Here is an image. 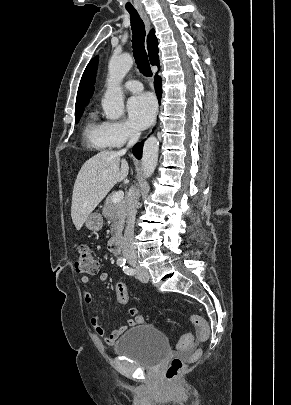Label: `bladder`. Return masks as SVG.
<instances>
[{
    "label": "bladder",
    "instance_id": "1",
    "mask_svg": "<svg viewBox=\"0 0 291 405\" xmlns=\"http://www.w3.org/2000/svg\"><path fill=\"white\" fill-rule=\"evenodd\" d=\"M114 352L147 369L158 368L169 355L166 335L152 325H140L128 330L114 345Z\"/></svg>",
    "mask_w": 291,
    "mask_h": 405
}]
</instances>
